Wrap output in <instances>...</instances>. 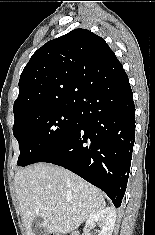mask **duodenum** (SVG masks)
Listing matches in <instances>:
<instances>
[{"label": "duodenum", "instance_id": "duodenum-1", "mask_svg": "<svg viewBox=\"0 0 155 235\" xmlns=\"http://www.w3.org/2000/svg\"><path fill=\"white\" fill-rule=\"evenodd\" d=\"M71 235H78V233L77 232H73Z\"/></svg>", "mask_w": 155, "mask_h": 235}]
</instances>
